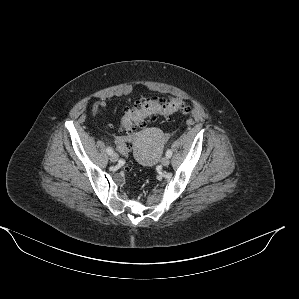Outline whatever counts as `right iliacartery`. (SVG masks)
Listing matches in <instances>:
<instances>
[{"label": "right iliac artery", "mask_w": 299, "mask_h": 299, "mask_svg": "<svg viewBox=\"0 0 299 299\" xmlns=\"http://www.w3.org/2000/svg\"><path fill=\"white\" fill-rule=\"evenodd\" d=\"M106 151H107L108 154H112V153H113V150H112L111 147H107V148H106Z\"/></svg>", "instance_id": "obj_1"}]
</instances>
